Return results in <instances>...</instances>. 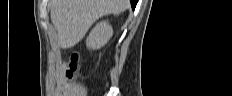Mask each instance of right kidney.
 Segmentation results:
<instances>
[{
	"instance_id": "1",
	"label": "right kidney",
	"mask_w": 232,
	"mask_h": 96,
	"mask_svg": "<svg viewBox=\"0 0 232 96\" xmlns=\"http://www.w3.org/2000/svg\"><path fill=\"white\" fill-rule=\"evenodd\" d=\"M113 34L112 27L107 21L98 23L90 32L87 38V47L91 49H99L104 46Z\"/></svg>"
}]
</instances>
